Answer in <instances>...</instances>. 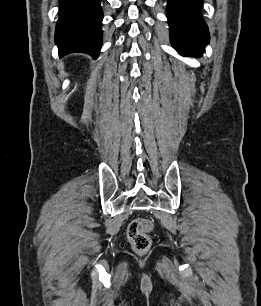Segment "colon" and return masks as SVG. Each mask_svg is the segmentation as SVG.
Wrapping results in <instances>:
<instances>
[{
  "label": "colon",
  "instance_id": "5ec220e1",
  "mask_svg": "<svg viewBox=\"0 0 261 306\" xmlns=\"http://www.w3.org/2000/svg\"><path fill=\"white\" fill-rule=\"evenodd\" d=\"M151 229L152 223L144 218H136L129 224L127 238L135 252L142 254L149 250L151 239L148 233Z\"/></svg>",
  "mask_w": 261,
  "mask_h": 306
}]
</instances>
